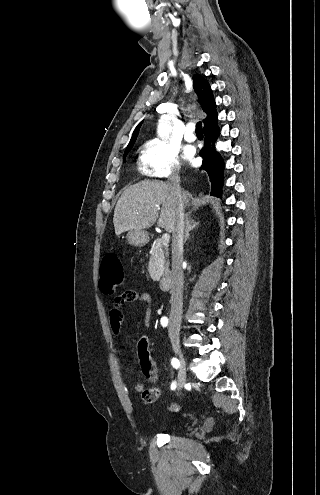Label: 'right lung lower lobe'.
I'll return each mask as SVG.
<instances>
[{
    "label": "right lung lower lobe",
    "instance_id": "obj_1",
    "mask_svg": "<svg viewBox=\"0 0 320 495\" xmlns=\"http://www.w3.org/2000/svg\"><path fill=\"white\" fill-rule=\"evenodd\" d=\"M204 147L200 151L203 164L200 169L205 170L211 182V195L221 197L223 186L224 162L215 148L220 130L217 122L204 128Z\"/></svg>",
    "mask_w": 320,
    "mask_h": 495
}]
</instances>
